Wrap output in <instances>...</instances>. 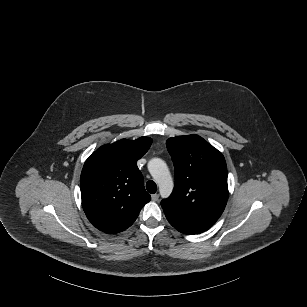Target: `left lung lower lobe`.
Masks as SVG:
<instances>
[{"instance_id":"left-lung-lower-lobe-1","label":"left lung lower lobe","mask_w":307,"mask_h":307,"mask_svg":"<svg viewBox=\"0 0 307 307\" xmlns=\"http://www.w3.org/2000/svg\"><path fill=\"white\" fill-rule=\"evenodd\" d=\"M169 221V220H168ZM170 222V224L174 227V228H176L178 231H180V232H182V233H185V234H197V233H193V232H188V231H186L185 229H183L181 226H179V225H177V224H175V223H173V222H171V221H169Z\"/></svg>"}]
</instances>
